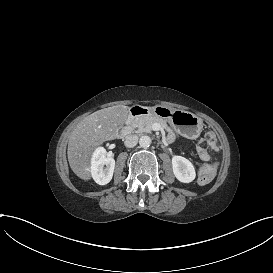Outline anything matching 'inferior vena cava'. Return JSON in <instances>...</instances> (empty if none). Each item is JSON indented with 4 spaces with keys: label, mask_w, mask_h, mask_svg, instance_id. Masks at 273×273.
Wrapping results in <instances>:
<instances>
[{
    "label": "inferior vena cava",
    "mask_w": 273,
    "mask_h": 273,
    "mask_svg": "<svg viewBox=\"0 0 273 273\" xmlns=\"http://www.w3.org/2000/svg\"><path fill=\"white\" fill-rule=\"evenodd\" d=\"M138 142V136L136 134L127 135L124 141L126 147L132 148Z\"/></svg>",
    "instance_id": "inferior-vena-cava-1"
}]
</instances>
